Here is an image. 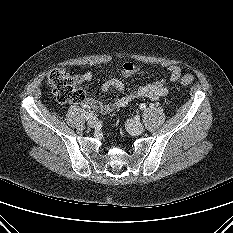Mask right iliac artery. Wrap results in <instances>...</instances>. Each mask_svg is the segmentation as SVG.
<instances>
[{
  "label": "right iliac artery",
  "mask_w": 233,
  "mask_h": 233,
  "mask_svg": "<svg viewBox=\"0 0 233 233\" xmlns=\"http://www.w3.org/2000/svg\"><path fill=\"white\" fill-rule=\"evenodd\" d=\"M93 115H94V112H93V111H89V112H87L85 118H86L87 120H89V119H91V118L93 117Z\"/></svg>",
  "instance_id": "82829eb1"
}]
</instances>
